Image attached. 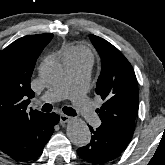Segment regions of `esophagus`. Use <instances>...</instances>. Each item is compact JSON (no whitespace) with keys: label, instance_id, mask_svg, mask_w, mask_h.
<instances>
[{"label":"esophagus","instance_id":"esophagus-1","mask_svg":"<svg viewBox=\"0 0 165 165\" xmlns=\"http://www.w3.org/2000/svg\"><path fill=\"white\" fill-rule=\"evenodd\" d=\"M71 118L67 115L61 114L60 115V122L61 124L67 123Z\"/></svg>","mask_w":165,"mask_h":165}]
</instances>
